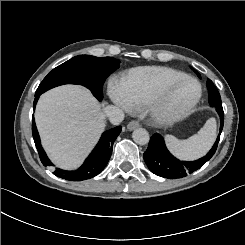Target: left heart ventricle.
<instances>
[{"mask_svg":"<svg viewBox=\"0 0 245 245\" xmlns=\"http://www.w3.org/2000/svg\"><path fill=\"white\" fill-rule=\"evenodd\" d=\"M197 94V87L192 81L179 83L162 95L165 106L172 110H180L189 105Z\"/></svg>","mask_w":245,"mask_h":245,"instance_id":"left-heart-ventricle-1","label":"left heart ventricle"}]
</instances>
